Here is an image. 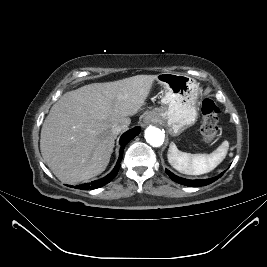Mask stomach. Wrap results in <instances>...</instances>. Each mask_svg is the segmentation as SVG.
Wrapping results in <instances>:
<instances>
[{
    "instance_id": "0dacf381",
    "label": "stomach",
    "mask_w": 267,
    "mask_h": 267,
    "mask_svg": "<svg viewBox=\"0 0 267 267\" xmlns=\"http://www.w3.org/2000/svg\"><path fill=\"white\" fill-rule=\"evenodd\" d=\"M156 80L164 89L163 107L150 113L157 121H167L171 134L179 135L197 121L198 84L191 77L178 73H162Z\"/></svg>"
}]
</instances>
